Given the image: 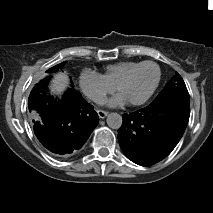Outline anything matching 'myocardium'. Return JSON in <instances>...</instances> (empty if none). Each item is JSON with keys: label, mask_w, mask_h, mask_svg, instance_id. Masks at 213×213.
Masks as SVG:
<instances>
[{"label": "myocardium", "mask_w": 213, "mask_h": 213, "mask_svg": "<svg viewBox=\"0 0 213 213\" xmlns=\"http://www.w3.org/2000/svg\"><path fill=\"white\" fill-rule=\"evenodd\" d=\"M143 66H153L156 69L157 75H156V80L155 83L151 89V91L142 99L137 100V101H130L128 102L129 105L131 106H140L145 104L155 93V91L157 90L160 80H161V69L159 67L158 64H156L155 62L152 61H144L139 63L138 65L134 66L133 68H131L116 84L115 88L116 90L119 92L120 88L122 87V85L127 82L129 80V78L133 75L134 72H136L138 69H140Z\"/></svg>", "instance_id": "1"}]
</instances>
